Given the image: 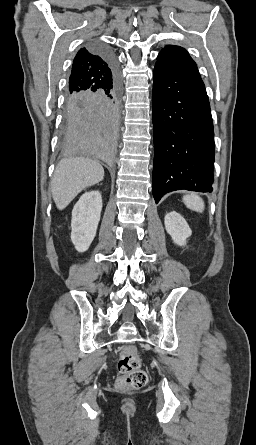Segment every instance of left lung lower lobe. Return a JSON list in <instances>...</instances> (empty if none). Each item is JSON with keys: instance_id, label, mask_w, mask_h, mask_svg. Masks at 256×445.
Instances as JSON below:
<instances>
[{"instance_id": "1", "label": "left lung lower lobe", "mask_w": 256, "mask_h": 445, "mask_svg": "<svg viewBox=\"0 0 256 445\" xmlns=\"http://www.w3.org/2000/svg\"><path fill=\"white\" fill-rule=\"evenodd\" d=\"M153 78L156 203L180 189L212 192L214 132L203 81L159 63Z\"/></svg>"}]
</instances>
